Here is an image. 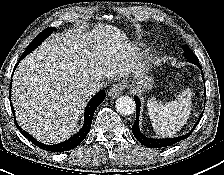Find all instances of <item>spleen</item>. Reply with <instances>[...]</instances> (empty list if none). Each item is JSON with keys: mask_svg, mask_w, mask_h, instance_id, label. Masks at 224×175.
<instances>
[{"mask_svg": "<svg viewBox=\"0 0 224 175\" xmlns=\"http://www.w3.org/2000/svg\"><path fill=\"white\" fill-rule=\"evenodd\" d=\"M191 96V90L185 89L173 101L158 102L155 97L148 100V113L158 135L171 137L187 123L191 114Z\"/></svg>", "mask_w": 224, "mask_h": 175, "instance_id": "obj_1", "label": "spleen"}]
</instances>
